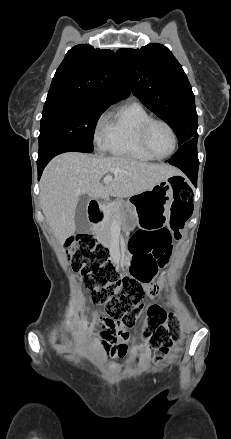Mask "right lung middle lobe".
Listing matches in <instances>:
<instances>
[{
	"label": "right lung middle lobe",
	"mask_w": 231,
	"mask_h": 439,
	"mask_svg": "<svg viewBox=\"0 0 231 439\" xmlns=\"http://www.w3.org/2000/svg\"><path fill=\"white\" fill-rule=\"evenodd\" d=\"M108 107L88 101L44 104L38 137V158L47 156L56 147L63 145L91 153L96 123Z\"/></svg>",
	"instance_id": "obj_1"
}]
</instances>
